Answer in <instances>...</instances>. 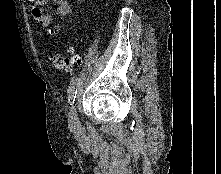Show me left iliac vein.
Wrapping results in <instances>:
<instances>
[{
    "instance_id": "obj_1",
    "label": "left iliac vein",
    "mask_w": 221,
    "mask_h": 174,
    "mask_svg": "<svg viewBox=\"0 0 221 174\" xmlns=\"http://www.w3.org/2000/svg\"><path fill=\"white\" fill-rule=\"evenodd\" d=\"M68 119H69L70 128L72 130L77 131V130L80 129L81 124H80L79 119H78L76 104H73L71 106V109H70V112H69V115H68Z\"/></svg>"
}]
</instances>
